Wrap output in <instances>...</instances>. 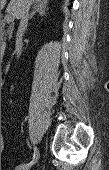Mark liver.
Masks as SVG:
<instances>
[{"label":"liver","mask_w":109,"mask_h":170,"mask_svg":"<svg viewBox=\"0 0 109 170\" xmlns=\"http://www.w3.org/2000/svg\"><path fill=\"white\" fill-rule=\"evenodd\" d=\"M7 0H1V6L4 7ZM36 3H44L46 4L48 0H33ZM22 3L23 0H10V3L7 7V12H11L15 18L19 19L21 17L22 12Z\"/></svg>","instance_id":"liver-1"}]
</instances>
